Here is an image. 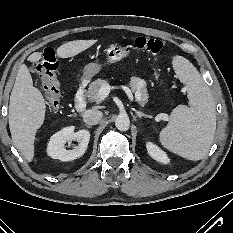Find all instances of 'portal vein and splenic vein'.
Returning <instances> with one entry per match:
<instances>
[{
  "label": "portal vein and splenic vein",
  "mask_w": 233,
  "mask_h": 233,
  "mask_svg": "<svg viewBox=\"0 0 233 233\" xmlns=\"http://www.w3.org/2000/svg\"><path fill=\"white\" fill-rule=\"evenodd\" d=\"M112 89H121L123 90L128 99L133 102L134 101V98H133V93L132 91L125 85H120V86H110L108 83L107 84H104L101 86V88L99 89V92H98V97L100 99V101L104 100L110 93V91ZM159 119H162V120H165L167 121L169 119L168 115L167 114H160L157 116Z\"/></svg>",
  "instance_id": "obj_1"
}]
</instances>
